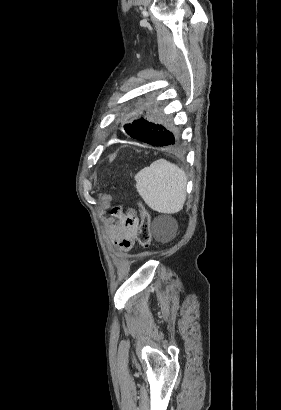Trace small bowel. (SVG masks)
Segmentation results:
<instances>
[{"label": "small bowel", "mask_w": 281, "mask_h": 410, "mask_svg": "<svg viewBox=\"0 0 281 410\" xmlns=\"http://www.w3.org/2000/svg\"><path fill=\"white\" fill-rule=\"evenodd\" d=\"M138 230V218L120 217L118 224L111 229L110 236L120 251H129L134 245Z\"/></svg>", "instance_id": "1"}]
</instances>
